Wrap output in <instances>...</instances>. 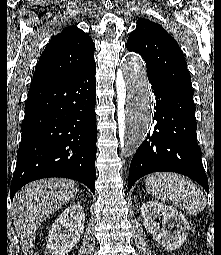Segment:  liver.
Instances as JSON below:
<instances>
[{
	"label": "liver",
	"instance_id": "liver-1",
	"mask_svg": "<svg viewBox=\"0 0 221 255\" xmlns=\"http://www.w3.org/2000/svg\"><path fill=\"white\" fill-rule=\"evenodd\" d=\"M78 191V184L72 180L48 178L27 184L15 195L11 211L24 255L33 253L36 231L43 220Z\"/></svg>",
	"mask_w": 221,
	"mask_h": 255
}]
</instances>
